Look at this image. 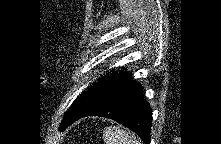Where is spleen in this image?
Wrapping results in <instances>:
<instances>
[{
  "label": "spleen",
  "instance_id": "obj_1",
  "mask_svg": "<svg viewBox=\"0 0 221 144\" xmlns=\"http://www.w3.org/2000/svg\"><path fill=\"white\" fill-rule=\"evenodd\" d=\"M103 137L106 144H141L135 135L116 126L106 127Z\"/></svg>",
  "mask_w": 221,
  "mask_h": 144
}]
</instances>
